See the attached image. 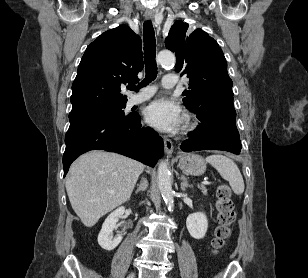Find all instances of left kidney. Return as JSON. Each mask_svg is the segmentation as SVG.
<instances>
[{
  "label": "left kidney",
  "mask_w": 308,
  "mask_h": 278,
  "mask_svg": "<svg viewBox=\"0 0 308 278\" xmlns=\"http://www.w3.org/2000/svg\"><path fill=\"white\" fill-rule=\"evenodd\" d=\"M186 226L193 238L202 239L208 229L207 217L203 212L190 214L186 219Z\"/></svg>",
  "instance_id": "left-kidney-1"
}]
</instances>
